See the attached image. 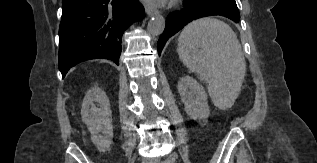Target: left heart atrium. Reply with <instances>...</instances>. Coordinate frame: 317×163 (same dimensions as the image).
Listing matches in <instances>:
<instances>
[{
	"label": "left heart atrium",
	"mask_w": 317,
	"mask_h": 163,
	"mask_svg": "<svg viewBox=\"0 0 317 163\" xmlns=\"http://www.w3.org/2000/svg\"><path fill=\"white\" fill-rule=\"evenodd\" d=\"M149 3H153V4H160L162 2H164V0H146Z\"/></svg>",
	"instance_id": "obj_1"
}]
</instances>
